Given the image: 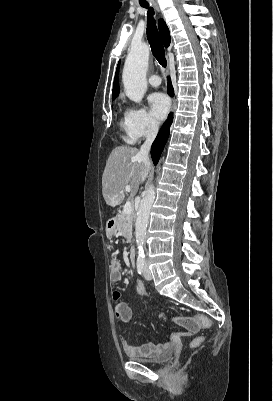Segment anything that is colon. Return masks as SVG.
I'll use <instances>...</instances> for the list:
<instances>
[{"label": "colon", "mask_w": 273, "mask_h": 401, "mask_svg": "<svg viewBox=\"0 0 273 401\" xmlns=\"http://www.w3.org/2000/svg\"><path fill=\"white\" fill-rule=\"evenodd\" d=\"M146 287L147 286L145 283H143V282L139 283L137 285V288L135 291L137 294H139V296L141 298H143L145 301H148L151 306H154L156 303L154 302V299L151 298L153 296V293L151 291H148V289ZM117 293H119V292H117ZM164 310H166V309H163L162 307H159V306H156L154 308V311L156 313L160 312L161 315L165 314ZM114 315L116 316L117 319L120 317V312H119L116 304L114 307ZM171 318H176V321H180L179 325L181 327H184V330L187 333H199V332H201L202 328H212L214 326V321L212 319H203L204 318L203 314L197 315V318H200L197 322H195V320H193V319H184L183 320V318H178V315H171ZM193 318H196V315H193ZM206 339H207V336L204 333L199 334L198 337H192L190 339L188 351L190 353H196L198 351V349H200L201 346L204 344V341H206Z\"/></svg>", "instance_id": "5ec220e1"}]
</instances>
